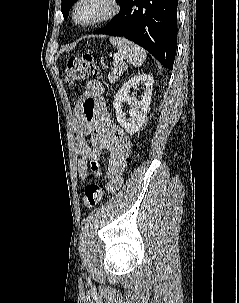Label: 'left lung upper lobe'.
Wrapping results in <instances>:
<instances>
[{
	"mask_svg": "<svg viewBox=\"0 0 239 303\" xmlns=\"http://www.w3.org/2000/svg\"><path fill=\"white\" fill-rule=\"evenodd\" d=\"M77 0H62L61 4V11L63 13L64 19L66 20L69 14V10L71 6L76 2ZM124 0H119L120 5L122 4Z\"/></svg>",
	"mask_w": 239,
	"mask_h": 303,
	"instance_id": "left-lung-upper-lobe-1",
	"label": "left lung upper lobe"
}]
</instances>
